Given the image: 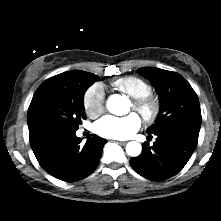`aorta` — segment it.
<instances>
[{
  "instance_id": "aorta-1",
  "label": "aorta",
  "mask_w": 221,
  "mask_h": 221,
  "mask_svg": "<svg viewBox=\"0 0 221 221\" xmlns=\"http://www.w3.org/2000/svg\"><path fill=\"white\" fill-rule=\"evenodd\" d=\"M127 100L125 97L114 94L107 100V109L114 114H120L119 106L126 104ZM142 151L141 144L136 141H131L126 145V152L131 157L139 156Z\"/></svg>"
}]
</instances>
